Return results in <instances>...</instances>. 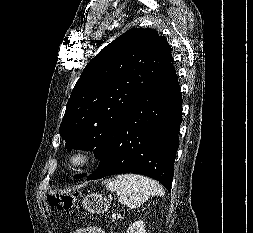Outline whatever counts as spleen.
Wrapping results in <instances>:
<instances>
[{"mask_svg": "<svg viewBox=\"0 0 253 233\" xmlns=\"http://www.w3.org/2000/svg\"><path fill=\"white\" fill-rule=\"evenodd\" d=\"M106 188L117 192L119 202L132 208L139 207L150 196H163L165 193L158 182L136 174L119 175L110 180Z\"/></svg>", "mask_w": 253, "mask_h": 233, "instance_id": "spleen-1", "label": "spleen"}]
</instances>
